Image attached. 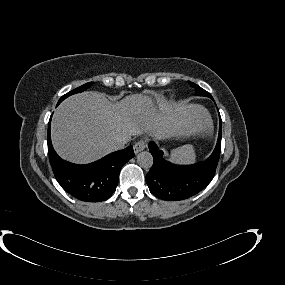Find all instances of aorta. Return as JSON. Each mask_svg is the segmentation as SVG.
I'll return each instance as SVG.
<instances>
[{
  "mask_svg": "<svg viewBox=\"0 0 285 285\" xmlns=\"http://www.w3.org/2000/svg\"><path fill=\"white\" fill-rule=\"evenodd\" d=\"M137 163L142 168L148 169L153 165V156L150 152L143 151L137 155Z\"/></svg>",
  "mask_w": 285,
  "mask_h": 285,
  "instance_id": "aorta-1",
  "label": "aorta"
}]
</instances>
